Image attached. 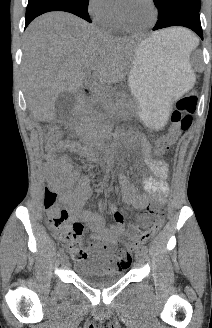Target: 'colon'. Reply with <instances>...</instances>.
Returning a JSON list of instances; mask_svg holds the SVG:
<instances>
[{
    "instance_id": "colon-1",
    "label": "colon",
    "mask_w": 212,
    "mask_h": 328,
    "mask_svg": "<svg viewBox=\"0 0 212 328\" xmlns=\"http://www.w3.org/2000/svg\"><path fill=\"white\" fill-rule=\"evenodd\" d=\"M198 103V93L191 90L181 97L176 110L172 115V124L168 132L156 143V152L161 155L165 153L179 138H181L191 127L193 117ZM61 140V131L52 129L47 135L48 144L56 145ZM44 205L48 214L50 225L57 231L58 239L66 246L71 255L79 259L85 255V249L81 240L83 226L79 223L69 225L68 212L60 208V201L56 191L47 188L45 190ZM148 214L154 217V223L145 231L139 232L136 240L125 250L118 252L115 263L120 269H127L131 265L130 250L144 243L155 235L164 224V214L161 204L157 203L149 207Z\"/></svg>"
}]
</instances>
